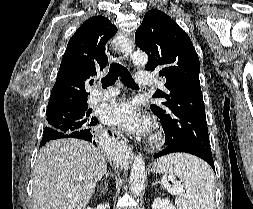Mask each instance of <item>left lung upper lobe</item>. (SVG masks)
Masks as SVG:
<instances>
[{
	"label": "left lung upper lobe",
	"mask_w": 253,
	"mask_h": 209,
	"mask_svg": "<svg viewBox=\"0 0 253 209\" xmlns=\"http://www.w3.org/2000/svg\"><path fill=\"white\" fill-rule=\"evenodd\" d=\"M148 55L145 69L159 70L165 91L157 90L151 110L161 120L166 143L210 152L199 58L189 36L164 12L148 11L135 34Z\"/></svg>",
	"instance_id": "left-lung-upper-lobe-1"
}]
</instances>
